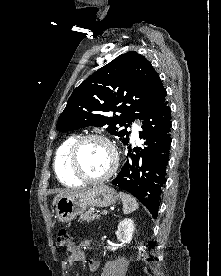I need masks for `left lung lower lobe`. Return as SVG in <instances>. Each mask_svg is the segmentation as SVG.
Listing matches in <instances>:
<instances>
[{
  "mask_svg": "<svg viewBox=\"0 0 221 276\" xmlns=\"http://www.w3.org/2000/svg\"><path fill=\"white\" fill-rule=\"evenodd\" d=\"M171 127V109L165 100L142 121L139 137L145 141L144 148H134L135 154H131L128 147L131 159L112 181L145 205L153 218L158 215L161 189L166 182Z\"/></svg>",
  "mask_w": 221,
  "mask_h": 276,
  "instance_id": "0a47b994",
  "label": "left lung lower lobe"
}]
</instances>
